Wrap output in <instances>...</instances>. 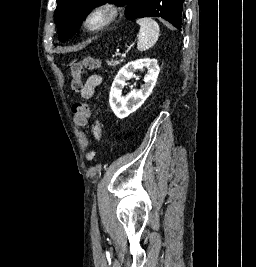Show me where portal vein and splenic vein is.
<instances>
[{
    "instance_id": "1",
    "label": "portal vein and splenic vein",
    "mask_w": 256,
    "mask_h": 267,
    "mask_svg": "<svg viewBox=\"0 0 256 267\" xmlns=\"http://www.w3.org/2000/svg\"><path fill=\"white\" fill-rule=\"evenodd\" d=\"M124 55H125V56H123V59H126V56L129 55V52H128V51H125V52H124Z\"/></svg>"
}]
</instances>
